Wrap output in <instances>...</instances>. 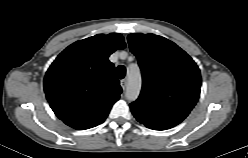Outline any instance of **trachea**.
<instances>
[{"label":"trachea","instance_id":"3493384b","mask_svg":"<svg viewBox=\"0 0 248 158\" xmlns=\"http://www.w3.org/2000/svg\"><path fill=\"white\" fill-rule=\"evenodd\" d=\"M125 74H126V68L123 65L118 66L116 69V75L118 79H123L125 77Z\"/></svg>","mask_w":248,"mask_h":158}]
</instances>
